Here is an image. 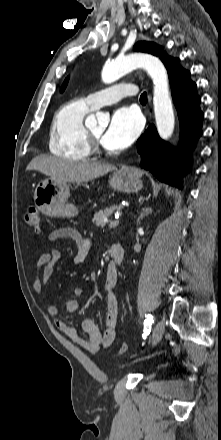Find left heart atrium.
Masks as SVG:
<instances>
[{
    "mask_svg": "<svg viewBox=\"0 0 221 440\" xmlns=\"http://www.w3.org/2000/svg\"><path fill=\"white\" fill-rule=\"evenodd\" d=\"M141 129L140 114L131 107H121L113 113L101 141L109 149H124L133 143Z\"/></svg>",
    "mask_w": 221,
    "mask_h": 440,
    "instance_id": "39dd6f15",
    "label": "left heart atrium"
}]
</instances>
